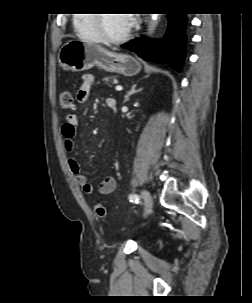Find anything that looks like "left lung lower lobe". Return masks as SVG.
I'll return each mask as SVG.
<instances>
[{
	"mask_svg": "<svg viewBox=\"0 0 252 303\" xmlns=\"http://www.w3.org/2000/svg\"><path fill=\"white\" fill-rule=\"evenodd\" d=\"M186 22L185 14H168V29L162 40L150 41L141 37L121 47L136 52L146 61L165 62L173 69L180 71L184 60Z\"/></svg>",
	"mask_w": 252,
	"mask_h": 303,
	"instance_id": "0a47b994",
	"label": "left lung lower lobe"
}]
</instances>
